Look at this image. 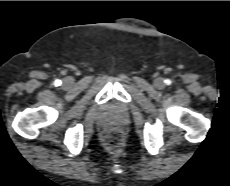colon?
Segmentation results:
<instances>
[{
    "label": "colon",
    "mask_w": 230,
    "mask_h": 186,
    "mask_svg": "<svg viewBox=\"0 0 230 186\" xmlns=\"http://www.w3.org/2000/svg\"><path fill=\"white\" fill-rule=\"evenodd\" d=\"M103 144L112 153L120 152L123 146L122 132L117 128L106 129L103 133Z\"/></svg>",
    "instance_id": "colon-1"
}]
</instances>
